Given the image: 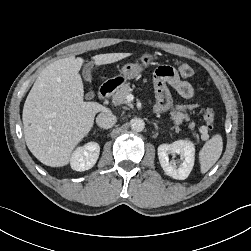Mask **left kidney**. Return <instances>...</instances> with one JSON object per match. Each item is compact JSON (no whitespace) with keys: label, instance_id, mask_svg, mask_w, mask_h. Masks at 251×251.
I'll return each mask as SVG.
<instances>
[{"label":"left kidney","instance_id":"5707ae66","mask_svg":"<svg viewBox=\"0 0 251 251\" xmlns=\"http://www.w3.org/2000/svg\"><path fill=\"white\" fill-rule=\"evenodd\" d=\"M180 155L182 162L177 168L176 164L169 161V155ZM158 158L164 172L178 180L186 179L194 165L195 146L189 140H177L172 144H161L158 147Z\"/></svg>","mask_w":251,"mask_h":251}]
</instances>
